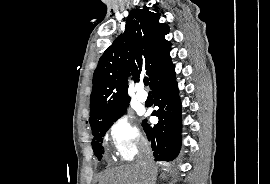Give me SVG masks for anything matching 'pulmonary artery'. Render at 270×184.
Masks as SVG:
<instances>
[{
  "label": "pulmonary artery",
  "mask_w": 270,
  "mask_h": 184,
  "mask_svg": "<svg viewBox=\"0 0 270 184\" xmlns=\"http://www.w3.org/2000/svg\"><path fill=\"white\" fill-rule=\"evenodd\" d=\"M136 97L138 101L145 102L147 100V93L143 89H139Z\"/></svg>",
  "instance_id": "obj_1"
}]
</instances>
